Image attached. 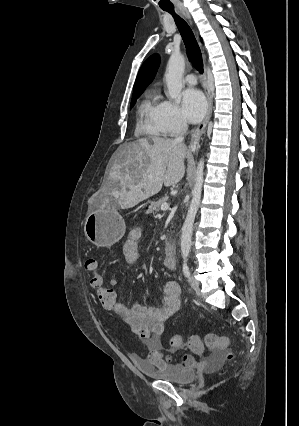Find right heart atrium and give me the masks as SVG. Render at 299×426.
Returning <instances> with one entry per match:
<instances>
[{
    "instance_id": "1",
    "label": "right heart atrium",
    "mask_w": 299,
    "mask_h": 426,
    "mask_svg": "<svg viewBox=\"0 0 299 426\" xmlns=\"http://www.w3.org/2000/svg\"><path fill=\"white\" fill-rule=\"evenodd\" d=\"M160 121L166 134L173 135L186 128V121L180 108L170 100L160 103Z\"/></svg>"
}]
</instances>
